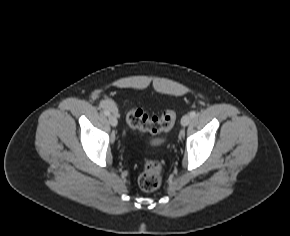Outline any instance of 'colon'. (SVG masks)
<instances>
[{"label": "colon", "mask_w": 290, "mask_h": 236, "mask_svg": "<svg viewBox=\"0 0 290 236\" xmlns=\"http://www.w3.org/2000/svg\"><path fill=\"white\" fill-rule=\"evenodd\" d=\"M126 119L131 127L156 134L172 128L175 113L173 110H166L160 116H149L139 108H131L126 114ZM138 182L140 188L146 192L158 189L162 183L161 163L158 160L147 161Z\"/></svg>", "instance_id": "5ec220e1"}]
</instances>
